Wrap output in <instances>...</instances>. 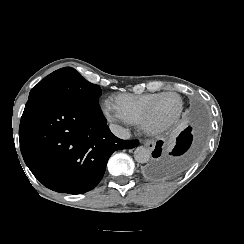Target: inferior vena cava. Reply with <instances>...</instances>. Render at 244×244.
Returning a JSON list of instances; mask_svg holds the SVG:
<instances>
[{
    "instance_id": "inferior-vena-cava-1",
    "label": "inferior vena cava",
    "mask_w": 244,
    "mask_h": 244,
    "mask_svg": "<svg viewBox=\"0 0 244 244\" xmlns=\"http://www.w3.org/2000/svg\"><path fill=\"white\" fill-rule=\"evenodd\" d=\"M110 129L112 133L120 139L126 140L130 138V133L127 129L121 128L117 125H110Z\"/></svg>"
}]
</instances>
